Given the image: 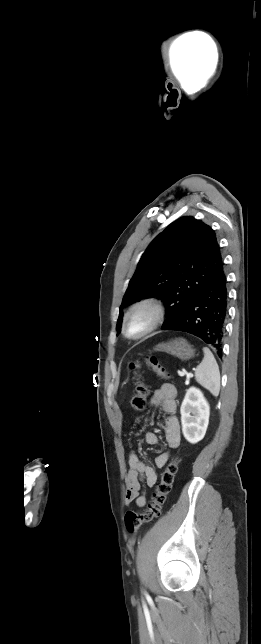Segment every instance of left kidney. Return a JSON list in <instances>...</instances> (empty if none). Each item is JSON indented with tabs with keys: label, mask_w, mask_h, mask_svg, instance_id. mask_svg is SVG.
Returning <instances> with one entry per match:
<instances>
[{
	"label": "left kidney",
	"mask_w": 261,
	"mask_h": 644,
	"mask_svg": "<svg viewBox=\"0 0 261 644\" xmlns=\"http://www.w3.org/2000/svg\"><path fill=\"white\" fill-rule=\"evenodd\" d=\"M180 413L185 439L192 444L202 440L209 423L210 407L198 388L191 387L187 390Z\"/></svg>",
	"instance_id": "left-kidney-1"
}]
</instances>
